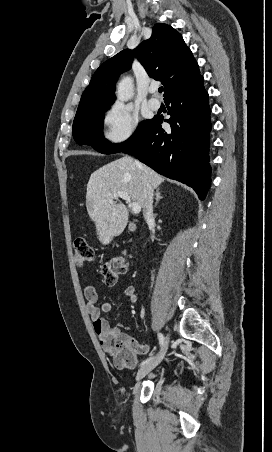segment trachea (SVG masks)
Instances as JSON below:
<instances>
[{
    "label": "trachea",
    "instance_id": "trachea-1",
    "mask_svg": "<svg viewBox=\"0 0 272 452\" xmlns=\"http://www.w3.org/2000/svg\"><path fill=\"white\" fill-rule=\"evenodd\" d=\"M162 90H163L162 87H160V88L158 89V92L161 93Z\"/></svg>",
    "mask_w": 272,
    "mask_h": 452
}]
</instances>
